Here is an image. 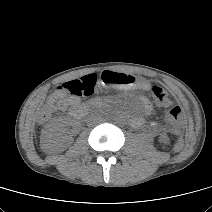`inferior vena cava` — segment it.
Instances as JSON below:
<instances>
[{
    "label": "inferior vena cava",
    "instance_id": "602c4592",
    "mask_svg": "<svg viewBox=\"0 0 212 212\" xmlns=\"http://www.w3.org/2000/svg\"><path fill=\"white\" fill-rule=\"evenodd\" d=\"M97 122H100V118L99 117H96V116H91L88 118V124L89 125H93Z\"/></svg>",
    "mask_w": 212,
    "mask_h": 212
}]
</instances>
